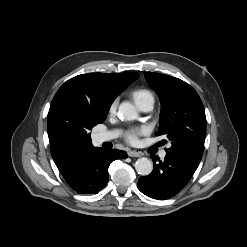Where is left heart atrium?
Masks as SVG:
<instances>
[{
  "label": "left heart atrium",
  "mask_w": 247,
  "mask_h": 247,
  "mask_svg": "<svg viewBox=\"0 0 247 247\" xmlns=\"http://www.w3.org/2000/svg\"><path fill=\"white\" fill-rule=\"evenodd\" d=\"M142 133H144V130H142V129H133V130L128 132L127 140L130 143H136L138 140V136L141 135Z\"/></svg>",
  "instance_id": "obj_1"
}]
</instances>
